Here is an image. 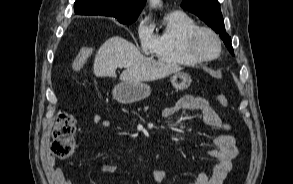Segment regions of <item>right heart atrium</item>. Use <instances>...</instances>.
<instances>
[{
    "instance_id": "obj_1",
    "label": "right heart atrium",
    "mask_w": 293,
    "mask_h": 184,
    "mask_svg": "<svg viewBox=\"0 0 293 184\" xmlns=\"http://www.w3.org/2000/svg\"><path fill=\"white\" fill-rule=\"evenodd\" d=\"M136 33L142 51L146 54L153 52L156 36L153 32V25L148 17H142L136 26Z\"/></svg>"
}]
</instances>
